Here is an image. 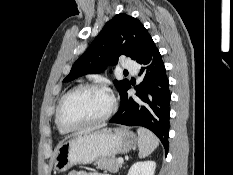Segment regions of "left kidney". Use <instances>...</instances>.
Masks as SVG:
<instances>
[{
	"mask_svg": "<svg viewBox=\"0 0 233 175\" xmlns=\"http://www.w3.org/2000/svg\"><path fill=\"white\" fill-rule=\"evenodd\" d=\"M156 163L154 161L136 162L127 175H154Z\"/></svg>",
	"mask_w": 233,
	"mask_h": 175,
	"instance_id": "1",
	"label": "left kidney"
}]
</instances>
